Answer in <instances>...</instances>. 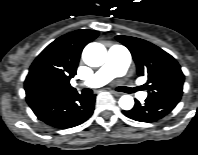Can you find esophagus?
<instances>
[{
	"instance_id": "esophagus-1",
	"label": "esophagus",
	"mask_w": 198,
	"mask_h": 155,
	"mask_svg": "<svg viewBox=\"0 0 198 155\" xmlns=\"http://www.w3.org/2000/svg\"><path fill=\"white\" fill-rule=\"evenodd\" d=\"M111 93L117 97L121 96L122 93L121 92H118V91H115V90H111Z\"/></svg>"
}]
</instances>
